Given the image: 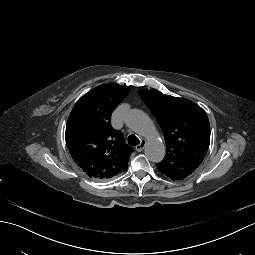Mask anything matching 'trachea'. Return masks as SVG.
I'll list each match as a JSON object with an SVG mask.
<instances>
[{"instance_id":"1","label":"trachea","mask_w":255,"mask_h":255,"mask_svg":"<svg viewBox=\"0 0 255 255\" xmlns=\"http://www.w3.org/2000/svg\"><path fill=\"white\" fill-rule=\"evenodd\" d=\"M128 143L129 145L134 146V145H138L140 143V140L136 136L130 135L128 137Z\"/></svg>"}]
</instances>
